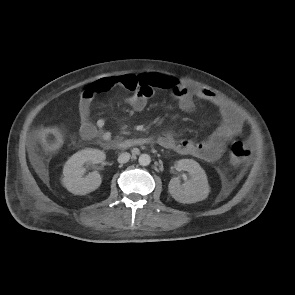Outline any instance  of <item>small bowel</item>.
Masks as SVG:
<instances>
[{
    "label": "small bowel",
    "instance_id": "c3829d8e",
    "mask_svg": "<svg viewBox=\"0 0 295 295\" xmlns=\"http://www.w3.org/2000/svg\"><path fill=\"white\" fill-rule=\"evenodd\" d=\"M129 76L136 78L137 86L135 88L128 87L127 78ZM117 87H124L130 90L128 102L137 112L145 109L149 99L159 89L169 91L178 101L179 107L183 111H192L195 106V100L208 102L218 110L222 122L216 131L204 141L176 140L172 131H167L158 138V143L162 147L179 154L190 155L209 162L215 161L222 155L228 142L242 131L243 118L241 114L213 91L194 87L185 81L169 75L149 73L110 76L88 83L81 90L77 106L79 133L82 138L86 140L100 138L104 143L110 141L112 135L106 129L105 120L100 118L93 122L90 117V110L92 101L96 96L107 93Z\"/></svg>",
    "mask_w": 295,
    "mask_h": 295
}]
</instances>
